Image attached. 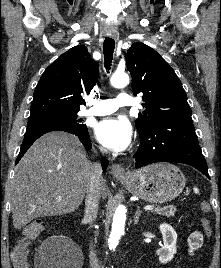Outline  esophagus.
<instances>
[{
	"label": "esophagus",
	"mask_w": 221,
	"mask_h": 268,
	"mask_svg": "<svg viewBox=\"0 0 221 268\" xmlns=\"http://www.w3.org/2000/svg\"><path fill=\"white\" fill-rule=\"evenodd\" d=\"M111 173L117 179H124V178H126L128 176L127 172L124 169V167L119 165V164H112Z\"/></svg>",
	"instance_id": "esophagus-1"
}]
</instances>
